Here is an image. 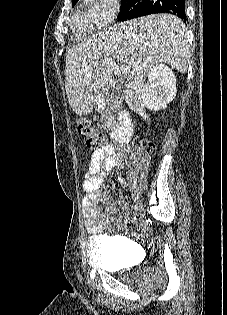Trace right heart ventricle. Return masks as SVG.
I'll list each match as a JSON object with an SVG mask.
<instances>
[{
    "instance_id": "right-heart-ventricle-1",
    "label": "right heart ventricle",
    "mask_w": 227,
    "mask_h": 315,
    "mask_svg": "<svg viewBox=\"0 0 227 315\" xmlns=\"http://www.w3.org/2000/svg\"><path fill=\"white\" fill-rule=\"evenodd\" d=\"M73 30L79 36H86L94 31V22L89 9L78 7L72 16Z\"/></svg>"
}]
</instances>
